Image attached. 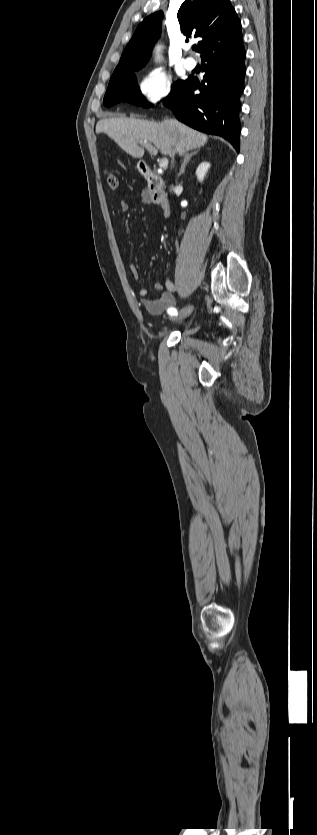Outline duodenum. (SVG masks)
Masks as SVG:
<instances>
[{
	"label": "duodenum",
	"mask_w": 317,
	"mask_h": 835,
	"mask_svg": "<svg viewBox=\"0 0 317 835\" xmlns=\"http://www.w3.org/2000/svg\"><path fill=\"white\" fill-rule=\"evenodd\" d=\"M139 171L148 183L152 201L158 205L165 204L167 202V194L164 189L163 179L142 162L139 164Z\"/></svg>",
	"instance_id": "410a0bca"
}]
</instances>
